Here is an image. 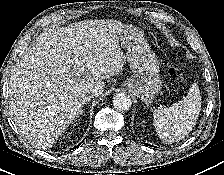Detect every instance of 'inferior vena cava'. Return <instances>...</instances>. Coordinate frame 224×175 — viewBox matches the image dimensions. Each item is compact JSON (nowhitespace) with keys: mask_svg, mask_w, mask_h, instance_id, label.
<instances>
[{"mask_svg":"<svg viewBox=\"0 0 224 175\" xmlns=\"http://www.w3.org/2000/svg\"><path fill=\"white\" fill-rule=\"evenodd\" d=\"M97 92L95 90H86L81 94V101L88 102L91 98L96 97Z\"/></svg>","mask_w":224,"mask_h":175,"instance_id":"602c4592","label":"inferior vena cava"}]
</instances>
